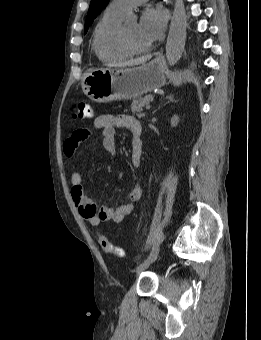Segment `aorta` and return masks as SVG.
I'll return each mask as SVG.
<instances>
[{
  "instance_id": "762f6f07",
  "label": "aorta",
  "mask_w": 261,
  "mask_h": 340,
  "mask_svg": "<svg viewBox=\"0 0 261 340\" xmlns=\"http://www.w3.org/2000/svg\"><path fill=\"white\" fill-rule=\"evenodd\" d=\"M187 16L183 0H176L166 42V58L174 66L181 58L186 41Z\"/></svg>"
}]
</instances>
